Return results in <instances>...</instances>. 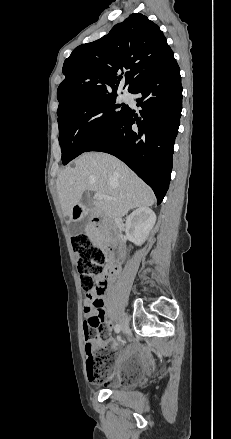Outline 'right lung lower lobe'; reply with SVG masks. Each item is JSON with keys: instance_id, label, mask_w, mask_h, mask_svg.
<instances>
[{"instance_id": "98d812e1", "label": "right lung lower lobe", "mask_w": 231, "mask_h": 439, "mask_svg": "<svg viewBox=\"0 0 231 439\" xmlns=\"http://www.w3.org/2000/svg\"><path fill=\"white\" fill-rule=\"evenodd\" d=\"M130 93L140 96L136 99L142 108L140 116L128 107L85 152H106L122 160L153 189L160 204L169 188L182 110L181 76L175 58Z\"/></svg>"}]
</instances>
